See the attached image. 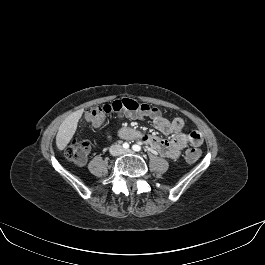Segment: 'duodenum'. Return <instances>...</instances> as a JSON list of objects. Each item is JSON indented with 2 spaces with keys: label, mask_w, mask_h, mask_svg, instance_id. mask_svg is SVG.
Masks as SVG:
<instances>
[{
  "label": "duodenum",
  "mask_w": 265,
  "mask_h": 265,
  "mask_svg": "<svg viewBox=\"0 0 265 265\" xmlns=\"http://www.w3.org/2000/svg\"><path fill=\"white\" fill-rule=\"evenodd\" d=\"M119 136L123 140H130L135 137V135L131 132H128L126 130H121L119 133Z\"/></svg>",
  "instance_id": "obj_1"
}]
</instances>
